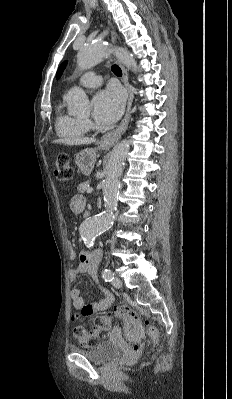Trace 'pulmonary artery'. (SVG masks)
<instances>
[{
    "label": "pulmonary artery",
    "mask_w": 232,
    "mask_h": 399,
    "mask_svg": "<svg viewBox=\"0 0 232 399\" xmlns=\"http://www.w3.org/2000/svg\"><path fill=\"white\" fill-rule=\"evenodd\" d=\"M84 74H88V71H84ZM77 83L84 84L87 90H98L99 84L104 83V78L100 77V74L96 73V71H92L87 77H78Z\"/></svg>",
    "instance_id": "e3ab8cb5"
}]
</instances>
